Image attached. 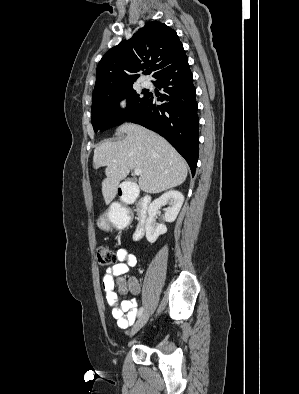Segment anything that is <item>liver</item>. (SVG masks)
Wrapping results in <instances>:
<instances>
[{"label":"liver","mask_w":299,"mask_h":394,"mask_svg":"<svg viewBox=\"0 0 299 394\" xmlns=\"http://www.w3.org/2000/svg\"><path fill=\"white\" fill-rule=\"evenodd\" d=\"M116 132L121 141H106L94 150L93 167L106 166L102 181L105 203L117 194L119 183L130 170L141 169L139 187L147 193H160L181 185L187 177L184 158L160 135L140 125L125 123Z\"/></svg>","instance_id":"1"}]
</instances>
